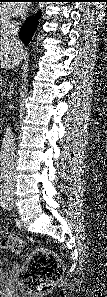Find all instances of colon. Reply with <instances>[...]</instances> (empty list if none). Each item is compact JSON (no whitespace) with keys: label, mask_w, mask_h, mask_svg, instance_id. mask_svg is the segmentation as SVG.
<instances>
[{"label":"colon","mask_w":107,"mask_h":297,"mask_svg":"<svg viewBox=\"0 0 107 297\" xmlns=\"http://www.w3.org/2000/svg\"><path fill=\"white\" fill-rule=\"evenodd\" d=\"M0 247L20 252L23 243L12 233L0 232ZM62 274V265L57 256L45 248L30 250L27 264L21 277L22 289L31 295L48 292Z\"/></svg>","instance_id":"obj_1"}]
</instances>
